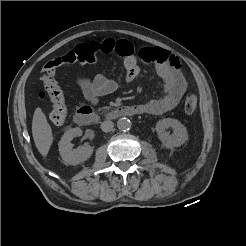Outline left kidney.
I'll list each match as a JSON object with an SVG mask.
<instances>
[{
	"label": "left kidney",
	"instance_id": "left-kidney-1",
	"mask_svg": "<svg viewBox=\"0 0 246 246\" xmlns=\"http://www.w3.org/2000/svg\"><path fill=\"white\" fill-rule=\"evenodd\" d=\"M168 127L173 129V134L166 131ZM156 132L164 147L172 149L180 147L188 140L187 128L177 119L165 118L156 123Z\"/></svg>",
	"mask_w": 246,
	"mask_h": 246
}]
</instances>
